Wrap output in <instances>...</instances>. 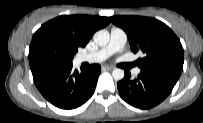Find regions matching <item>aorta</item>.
I'll return each mask as SVG.
<instances>
[{
	"label": "aorta",
	"mask_w": 203,
	"mask_h": 123,
	"mask_svg": "<svg viewBox=\"0 0 203 123\" xmlns=\"http://www.w3.org/2000/svg\"><path fill=\"white\" fill-rule=\"evenodd\" d=\"M110 34L107 30H99L95 32L93 36L94 42L99 46H106L109 42ZM124 70L120 68H116L112 72V76L116 81L122 80L124 78Z\"/></svg>",
	"instance_id": "aorta-1"
}]
</instances>
